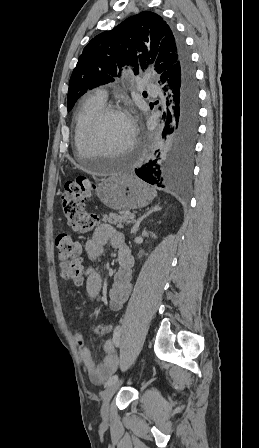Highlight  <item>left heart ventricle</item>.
I'll return each mask as SVG.
<instances>
[{
    "label": "left heart ventricle",
    "instance_id": "left-heart-ventricle-1",
    "mask_svg": "<svg viewBox=\"0 0 259 448\" xmlns=\"http://www.w3.org/2000/svg\"><path fill=\"white\" fill-rule=\"evenodd\" d=\"M133 128L129 120L114 115L106 118L99 130V141L106 149L83 150V162L91 158H105L126 151L132 141Z\"/></svg>",
    "mask_w": 259,
    "mask_h": 448
}]
</instances>
